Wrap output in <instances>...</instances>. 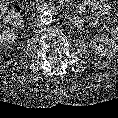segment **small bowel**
Segmentation results:
<instances>
[{"instance_id":"c3829d8e","label":"small bowel","mask_w":118,"mask_h":118,"mask_svg":"<svg viewBox=\"0 0 118 118\" xmlns=\"http://www.w3.org/2000/svg\"><path fill=\"white\" fill-rule=\"evenodd\" d=\"M87 6L100 14H108L111 12V7L105 0H88ZM116 40H118V29L114 32Z\"/></svg>"}]
</instances>
